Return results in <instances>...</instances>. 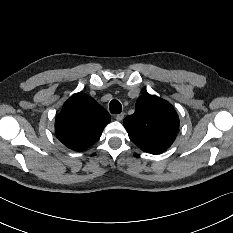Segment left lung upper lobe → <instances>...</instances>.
<instances>
[{"instance_id":"obj_1","label":"left lung upper lobe","mask_w":233,"mask_h":233,"mask_svg":"<svg viewBox=\"0 0 233 233\" xmlns=\"http://www.w3.org/2000/svg\"><path fill=\"white\" fill-rule=\"evenodd\" d=\"M123 124L132 142L141 150L158 154L174 142L179 117L169 102L142 94L136 101L134 114L127 116Z\"/></svg>"}]
</instances>
